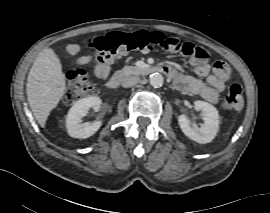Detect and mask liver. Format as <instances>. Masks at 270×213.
<instances>
[{
  "mask_svg": "<svg viewBox=\"0 0 270 213\" xmlns=\"http://www.w3.org/2000/svg\"><path fill=\"white\" fill-rule=\"evenodd\" d=\"M66 89L60 59L51 48L43 49L35 59L27 78L26 92L30 108L41 127L58 105Z\"/></svg>",
  "mask_w": 270,
  "mask_h": 213,
  "instance_id": "liver-1",
  "label": "liver"
}]
</instances>
